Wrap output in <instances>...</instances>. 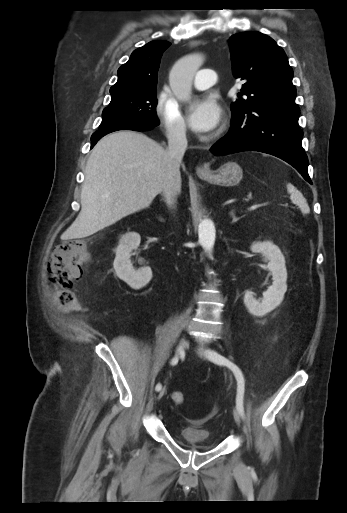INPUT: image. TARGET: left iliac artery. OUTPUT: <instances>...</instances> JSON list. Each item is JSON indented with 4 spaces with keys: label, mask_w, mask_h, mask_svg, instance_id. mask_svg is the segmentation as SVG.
Returning a JSON list of instances; mask_svg holds the SVG:
<instances>
[{
    "label": "left iliac artery",
    "mask_w": 347,
    "mask_h": 513,
    "mask_svg": "<svg viewBox=\"0 0 347 513\" xmlns=\"http://www.w3.org/2000/svg\"><path fill=\"white\" fill-rule=\"evenodd\" d=\"M207 355L210 361L218 364V365H225L231 371H233L235 378L237 380V395H236V407L242 418H244V407H243V397H244V391H245V379L243 376L242 371L240 368L229 361L227 358L219 354L218 352L214 350H208Z\"/></svg>",
    "instance_id": "1"
}]
</instances>
